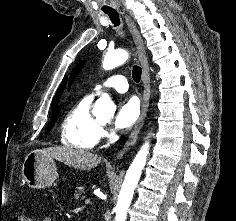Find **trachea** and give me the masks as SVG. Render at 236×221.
<instances>
[{
	"instance_id": "1",
	"label": "trachea",
	"mask_w": 236,
	"mask_h": 221,
	"mask_svg": "<svg viewBox=\"0 0 236 221\" xmlns=\"http://www.w3.org/2000/svg\"><path fill=\"white\" fill-rule=\"evenodd\" d=\"M106 14H108L110 20L112 21V23L115 26H119L120 19H119V15H118V13L116 11H108V12H106ZM141 73H142L141 67L133 66L132 77H133V80L135 82L138 83L140 81Z\"/></svg>"
}]
</instances>
